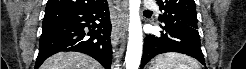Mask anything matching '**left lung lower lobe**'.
Wrapping results in <instances>:
<instances>
[{
    "mask_svg": "<svg viewBox=\"0 0 246 69\" xmlns=\"http://www.w3.org/2000/svg\"><path fill=\"white\" fill-rule=\"evenodd\" d=\"M159 36L146 35L141 61V69L155 56L166 52H179L189 55L203 65L200 36L197 29L181 25H160Z\"/></svg>",
    "mask_w": 246,
    "mask_h": 69,
    "instance_id": "left-lung-lower-lobe-1",
    "label": "left lung lower lobe"
}]
</instances>
